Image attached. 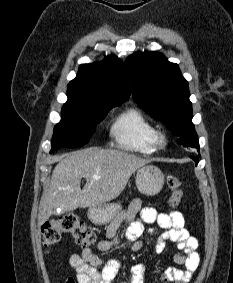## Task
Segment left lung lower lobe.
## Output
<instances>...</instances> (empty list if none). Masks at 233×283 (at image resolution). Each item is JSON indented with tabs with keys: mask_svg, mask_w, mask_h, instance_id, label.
I'll list each match as a JSON object with an SVG mask.
<instances>
[{
	"mask_svg": "<svg viewBox=\"0 0 233 283\" xmlns=\"http://www.w3.org/2000/svg\"><path fill=\"white\" fill-rule=\"evenodd\" d=\"M191 158L195 161V163L197 165L198 164V159L196 157H191Z\"/></svg>",
	"mask_w": 233,
	"mask_h": 283,
	"instance_id": "left-lung-lower-lobe-1",
	"label": "left lung lower lobe"
}]
</instances>
